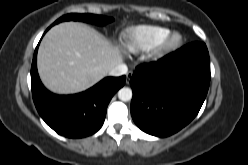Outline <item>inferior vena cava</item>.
<instances>
[{
    "instance_id": "1",
    "label": "inferior vena cava",
    "mask_w": 248,
    "mask_h": 165,
    "mask_svg": "<svg viewBox=\"0 0 248 165\" xmlns=\"http://www.w3.org/2000/svg\"><path fill=\"white\" fill-rule=\"evenodd\" d=\"M127 71H128V68L126 64L120 63L109 71V75L110 76H121V75L126 74Z\"/></svg>"
}]
</instances>
